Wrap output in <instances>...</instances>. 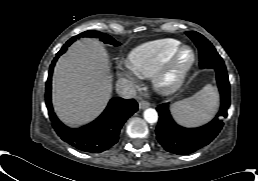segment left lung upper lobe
I'll return each mask as SVG.
<instances>
[{
    "mask_svg": "<svg viewBox=\"0 0 258 181\" xmlns=\"http://www.w3.org/2000/svg\"><path fill=\"white\" fill-rule=\"evenodd\" d=\"M186 35L190 37L199 50L201 68H225L222 58L203 35L195 31H188Z\"/></svg>",
    "mask_w": 258,
    "mask_h": 181,
    "instance_id": "1",
    "label": "left lung upper lobe"
}]
</instances>
